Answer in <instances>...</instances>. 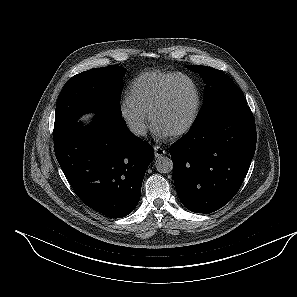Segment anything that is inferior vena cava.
Here are the masks:
<instances>
[{
  "instance_id": "inferior-vena-cava-1",
  "label": "inferior vena cava",
  "mask_w": 297,
  "mask_h": 297,
  "mask_svg": "<svg viewBox=\"0 0 297 297\" xmlns=\"http://www.w3.org/2000/svg\"><path fill=\"white\" fill-rule=\"evenodd\" d=\"M129 129L135 135L145 136L147 133L146 126L142 121H133L129 123Z\"/></svg>"
}]
</instances>
